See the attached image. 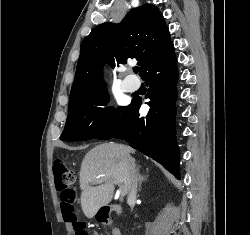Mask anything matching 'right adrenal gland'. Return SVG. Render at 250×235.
<instances>
[{
    "instance_id": "right-adrenal-gland-1",
    "label": "right adrenal gland",
    "mask_w": 250,
    "mask_h": 235,
    "mask_svg": "<svg viewBox=\"0 0 250 235\" xmlns=\"http://www.w3.org/2000/svg\"><path fill=\"white\" fill-rule=\"evenodd\" d=\"M139 169H140V166H137L136 173H137L138 181H139L138 191H141L142 182L147 179V176L141 175Z\"/></svg>"
}]
</instances>
